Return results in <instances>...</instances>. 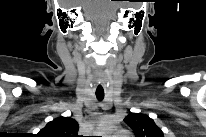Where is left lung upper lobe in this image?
<instances>
[{
    "label": "left lung upper lobe",
    "instance_id": "5c2ea615",
    "mask_svg": "<svg viewBox=\"0 0 206 137\" xmlns=\"http://www.w3.org/2000/svg\"><path fill=\"white\" fill-rule=\"evenodd\" d=\"M124 121L134 131L136 137H164L162 130L149 116L130 113Z\"/></svg>",
    "mask_w": 206,
    "mask_h": 137
}]
</instances>
